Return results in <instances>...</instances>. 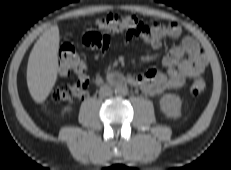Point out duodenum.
<instances>
[{"label":"duodenum","mask_w":231,"mask_h":170,"mask_svg":"<svg viewBox=\"0 0 231 170\" xmlns=\"http://www.w3.org/2000/svg\"><path fill=\"white\" fill-rule=\"evenodd\" d=\"M110 81H111V83L113 85H121V84H124V83H128V81L126 79H124L120 74H117V73L110 76ZM102 83H103L102 80H97L96 81L97 85H100Z\"/></svg>","instance_id":"duodenum-1"}]
</instances>
